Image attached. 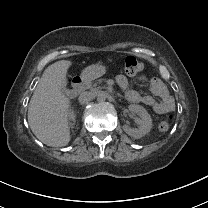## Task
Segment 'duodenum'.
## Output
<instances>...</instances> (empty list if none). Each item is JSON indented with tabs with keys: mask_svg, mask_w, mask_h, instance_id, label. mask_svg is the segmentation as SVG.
<instances>
[{
	"mask_svg": "<svg viewBox=\"0 0 208 208\" xmlns=\"http://www.w3.org/2000/svg\"><path fill=\"white\" fill-rule=\"evenodd\" d=\"M85 83H86L85 78L75 77L73 79L72 87L70 90L71 95H73V96L78 95L83 90Z\"/></svg>",
	"mask_w": 208,
	"mask_h": 208,
	"instance_id": "1",
	"label": "duodenum"
}]
</instances>
